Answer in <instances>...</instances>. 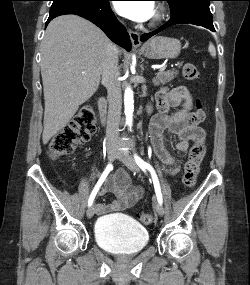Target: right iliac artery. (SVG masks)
Here are the masks:
<instances>
[{"instance_id": "1", "label": "right iliac artery", "mask_w": 250, "mask_h": 285, "mask_svg": "<svg viewBox=\"0 0 250 285\" xmlns=\"http://www.w3.org/2000/svg\"><path fill=\"white\" fill-rule=\"evenodd\" d=\"M113 169L112 164H109L106 169L104 170V172L102 173L101 177L99 178L97 184L95 185L92 193L90 194V197L88 199V206H91L95 196L98 192V190L100 189L101 185L103 184V182L105 181L106 177L108 176L109 172Z\"/></svg>"}]
</instances>
